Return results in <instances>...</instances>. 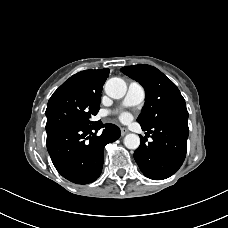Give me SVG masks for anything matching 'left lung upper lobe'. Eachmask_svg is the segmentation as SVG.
Wrapping results in <instances>:
<instances>
[{
  "instance_id": "obj_1",
  "label": "left lung upper lobe",
  "mask_w": 228,
  "mask_h": 228,
  "mask_svg": "<svg viewBox=\"0 0 228 228\" xmlns=\"http://www.w3.org/2000/svg\"><path fill=\"white\" fill-rule=\"evenodd\" d=\"M121 71L145 89V104L137 118L141 127L153 128L162 122L188 118L185 100L179 89L157 68L138 64L121 68Z\"/></svg>"
}]
</instances>
